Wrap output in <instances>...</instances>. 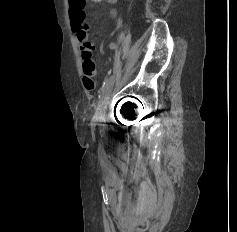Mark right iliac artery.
I'll use <instances>...</instances> for the list:
<instances>
[{
	"instance_id": "82829eb1",
	"label": "right iliac artery",
	"mask_w": 237,
	"mask_h": 232,
	"mask_svg": "<svg viewBox=\"0 0 237 232\" xmlns=\"http://www.w3.org/2000/svg\"><path fill=\"white\" fill-rule=\"evenodd\" d=\"M109 47H110V49L113 50V49H115V48L117 47V45H116V43L112 42ZM110 73H111V71L108 73V75H109ZM106 82H107V77L105 78V80H104V82H103L102 89L105 87Z\"/></svg>"
}]
</instances>
